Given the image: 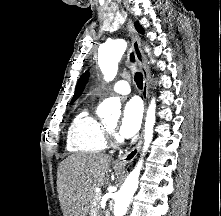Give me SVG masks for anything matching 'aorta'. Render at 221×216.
Segmentation results:
<instances>
[{
    "label": "aorta",
    "instance_id": "762f6f07",
    "mask_svg": "<svg viewBox=\"0 0 221 216\" xmlns=\"http://www.w3.org/2000/svg\"><path fill=\"white\" fill-rule=\"evenodd\" d=\"M127 48V42L123 39L108 41L100 46L98 55V64L106 81L115 78L118 71V63ZM149 52V49H146ZM121 104L114 98L105 99L97 108V114L100 118H109L117 116L120 113ZM155 100L152 99L146 115L144 130L143 155L149 148L153 138V127L155 124ZM143 159L141 158L135 168L127 176L120 190L115 194L114 216H124L131 199L138 188L139 175L142 169Z\"/></svg>",
    "mask_w": 221,
    "mask_h": 216
}]
</instances>
